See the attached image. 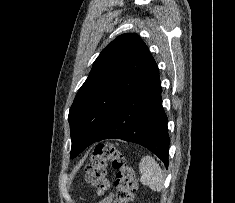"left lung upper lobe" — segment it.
Here are the masks:
<instances>
[{"instance_id":"obj_1","label":"left lung upper lobe","mask_w":235,"mask_h":203,"mask_svg":"<svg viewBox=\"0 0 235 203\" xmlns=\"http://www.w3.org/2000/svg\"><path fill=\"white\" fill-rule=\"evenodd\" d=\"M154 61L135 33L122 34L103 49L70 107V158L84 150H79L82 139L77 134L85 129L100 135Z\"/></svg>"}]
</instances>
